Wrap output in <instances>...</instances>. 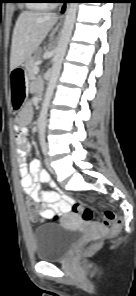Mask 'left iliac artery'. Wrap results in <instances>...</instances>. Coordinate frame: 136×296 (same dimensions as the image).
Returning a JSON list of instances; mask_svg holds the SVG:
<instances>
[{"label":"left iliac artery","instance_id":"44dca946","mask_svg":"<svg viewBox=\"0 0 136 296\" xmlns=\"http://www.w3.org/2000/svg\"><path fill=\"white\" fill-rule=\"evenodd\" d=\"M41 149L44 155H47V145L46 143H41Z\"/></svg>","mask_w":136,"mask_h":296}]
</instances>
